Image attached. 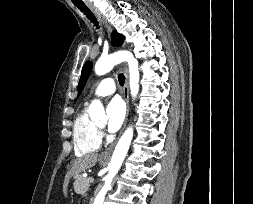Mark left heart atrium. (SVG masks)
I'll return each mask as SVG.
<instances>
[{
	"mask_svg": "<svg viewBox=\"0 0 253 204\" xmlns=\"http://www.w3.org/2000/svg\"><path fill=\"white\" fill-rule=\"evenodd\" d=\"M107 129L113 133L119 130L124 118H125V107L119 98L112 99L107 105Z\"/></svg>",
	"mask_w": 253,
	"mask_h": 204,
	"instance_id": "39dd6f15",
	"label": "left heart atrium"
}]
</instances>
